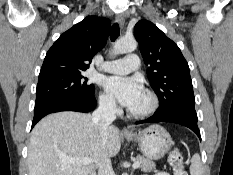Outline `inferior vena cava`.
Here are the masks:
<instances>
[{
  "label": "inferior vena cava",
  "instance_id": "602c4592",
  "mask_svg": "<svg viewBox=\"0 0 233 175\" xmlns=\"http://www.w3.org/2000/svg\"><path fill=\"white\" fill-rule=\"evenodd\" d=\"M116 119V104L113 99H103L92 114L93 123L99 127L100 136L105 139L109 125ZM98 175H115L111 160L104 156L99 164Z\"/></svg>",
  "mask_w": 233,
  "mask_h": 175
}]
</instances>
